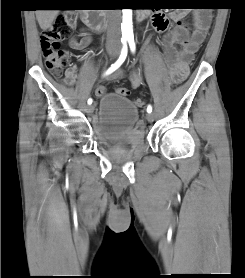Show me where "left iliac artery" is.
<instances>
[{"mask_svg": "<svg viewBox=\"0 0 245 278\" xmlns=\"http://www.w3.org/2000/svg\"><path fill=\"white\" fill-rule=\"evenodd\" d=\"M128 42H129L131 51L134 52V51H135V43H134L133 37H129V38H128ZM147 112H148V113H151V112H152V106H151V105H148V107H147Z\"/></svg>", "mask_w": 245, "mask_h": 278, "instance_id": "obj_1", "label": "left iliac artery"}]
</instances>
